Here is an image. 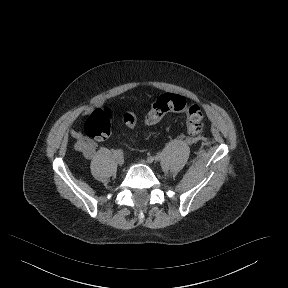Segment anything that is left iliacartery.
<instances>
[{"instance_id":"obj_1","label":"left iliac artery","mask_w":288,"mask_h":288,"mask_svg":"<svg viewBox=\"0 0 288 288\" xmlns=\"http://www.w3.org/2000/svg\"><path fill=\"white\" fill-rule=\"evenodd\" d=\"M152 160H154V161H159V156H158V155L153 156V157H152Z\"/></svg>"}]
</instances>
